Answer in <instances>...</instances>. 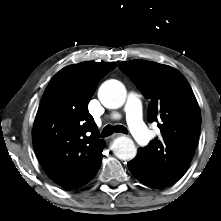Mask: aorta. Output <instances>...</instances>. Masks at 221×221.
Listing matches in <instances>:
<instances>
[{"mask_svg":"<svg viewBox=\"0 0 221 221\" xmlns=\"http://www.w3.org/2000/svg\"><path fill=\"white\" fill-rule=\"evenodd\" d=\"M98 98L104 107L118 109L123 106L126 100L125 86L118 80H107L100 86ZM112 150L121 160H132L137 154L134 142L125 136L115 139Z\"/></svg>","mask_w":221,"mask_h":221,"instance_id":"aorta-1","label":"aorta"}]
</instances>
